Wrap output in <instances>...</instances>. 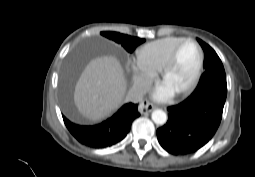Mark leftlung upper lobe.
<instances>
[{
  "instance_id": "1",
  "label": "left lung upper lobe",
  "mask_w": 255,
  "mask_h": 177,
  "mask_svg": "<svg viewBox=\"0 0 255 177\" xmlns=\"http://www.w3.org/2000/svg\"><path fill=\"white\" fill-rule=\"evenodd\" d=\"M204 50L205 72L194 92L217 89L227 93L226 75L223 64L216 52L202 40L197 39Z\"/></svg>"
}]
</instances>
